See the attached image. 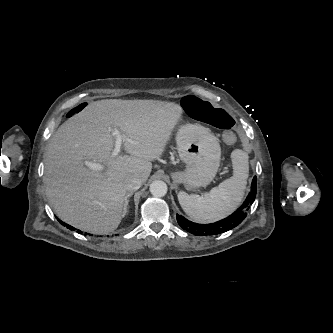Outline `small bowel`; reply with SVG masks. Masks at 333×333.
<instances>
[{"mask_svg": "<svg viewBox=\"0 0 333 333\" xmlns=\"http://www.w3.org/2000/svg\"><path fill=\"white\" fill-rule=\"evenodd\" d=\"M220 142L225 146H230L239 140L243 144V149L248 151L250 149L249 140L242 134H237V132L233 130H223L219 134Z\"/></svg>", "mask_w": 333, "mask_h": 333, "instance_id": "c3829d8e", "label": "small bowel"}]
</instances>
